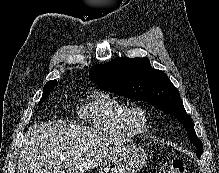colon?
I'll list each match as a JSON object with an SVG mask.
<instances>
[{
  "instance_id": "obj_1",
  "label": "colon",
  "mask_w": 219,
  "mask_h": 173,
  "mask_svg": "<svg viewBox=\"0 0 219 173\" xmlns=\"http://www.w3.org/2000/svg\"><path fill=\"white\" fill-rule=\"evenodd\" d=\"M188 167L181 158H173L166 162L164 173H187Z\"/></svg>"
}]
</instances>
